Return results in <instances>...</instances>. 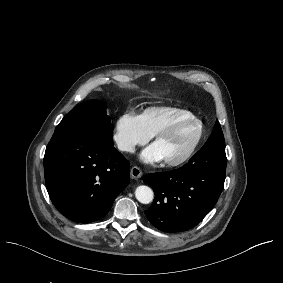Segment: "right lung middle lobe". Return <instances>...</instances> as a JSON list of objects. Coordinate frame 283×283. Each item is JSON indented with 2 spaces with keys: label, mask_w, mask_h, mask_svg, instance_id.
<instances>
[{
  "label": "right lung middle lobe",
  "mask_w": 283,
  "mask_h": 283,
  "mask_svg": "<svg viewBox=\"0 0 283 283\" xmlns=\"http://www.w3.org/2000/svg\"><path fill=\"white\" fill-rule=\"evenodd\" d=\"M73 131L113 137V126L106 113V106L99 100L86 101L72 109L58 124L54 133Z\"/></svg>",
  "instance_id": "dd1d6c3e"
}]
</instances>
